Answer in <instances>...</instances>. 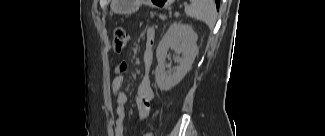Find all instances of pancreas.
I'll use <instances>...</instances> for the list:
<instances>
[{
    "label": "pancreas",
    "instance_id": "cf45deb5",
    "mask_svg": "<svg viewBox=\"0 0 325 136\" xmlns=\"http://www.w3.org/2000/svg\"><path fill=\"white\" fill-rule=\"evenodd\" d=\"M172 16H170V12H153L152 18L157 19L158 24H165L166 19H170Z\"/></svg>",
    "mask_w": 325,
    "mask_h": 136
}]
</instances>
